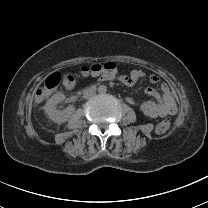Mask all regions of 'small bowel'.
<instances>
[{"instance_id":"c3829d8e","label":"small bowel","mask_w":208,"mask_h":208,"mask_svg":"<svg viewBox=\"0 0 208 208\" xmlns=\"http://www.w3.org/2000/svg\"><path fill=\"white\" fill-rule=\"evenodd\" d=\"M116 77L113 73H105L100 74L98 76L99 82H104L105 80L115 81ZM141 79H148L152 83H160L161 79L156 74L146 75L144 72L140 70H132L129 75L122 76L120 78L121 82L126 86H133ZM74 85V84H73ZM73 85H65L68 89H71ZM161 92L153 88H148L144 91V95L153 96L157 99V101H145L141 104H138L136 98L130 97L128 101L132 104L139 105L142 113L152 119L155 118H164L170 115H174L177 112V104L173 98L171 89L169 85L165 82H161L160 86Z\"/></svg>"}]
</instances>
